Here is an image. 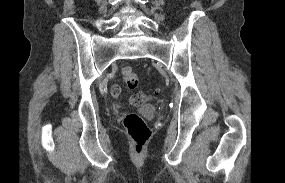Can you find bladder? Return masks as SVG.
<instances>
[{
  "instance_id": "obj_1",
  "label": "bladder",
  "mask_w": 285,
  "mask_h": 183,
  "mask_svg": "<svg viewBox=\"0 0 285 183\" xmlns=\"http://www.w3.org/2000/svg\"><path fill=\"white\" fill-rule=\"evenodd\" d=\"M141 113L146 115V116H152L156 113L155 107L152 106H144L141 108Z\"/></svg>"
}]
</instances>
